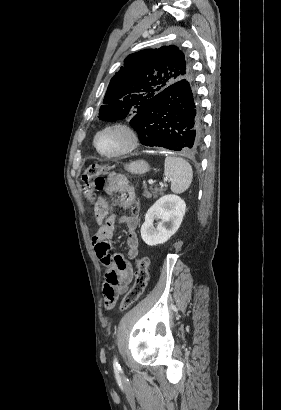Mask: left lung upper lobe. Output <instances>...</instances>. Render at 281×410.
<instances>
[{
	"label": "left lung upper lobe",
	"mask_w": 281,
	"mask_h": 410,
	"mask_svg": "<svg viewBox=\"0 0 281 410\" xmlns=\"http://www.w3.org/2000/svg\"><path fill=\"white\" fill-rule=\"evenodd\" d=\"M186 78H193V72L185 55L176 46L133 53L111 79L99 119L133 118L143 112L152 97Z\"/></svg>",
	"instance_id": "left-lung-upper-lobe-1"
}]
</instances>
